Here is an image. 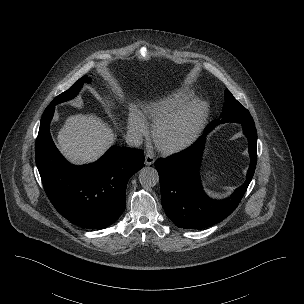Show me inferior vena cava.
Returning a JSON list of instances; mask_svg holds the SVG:
<instances>
[{"label": "inferior vena cava", "mask_w": 304, "mask_h": 304, "mask_svg": "<svg viewBox=\"0 0 304 304\" xmlns=\"http://www.w3.org/2000/svg\"><path fill=\"white\" fill-rule=\"evenodd\" d=\"M125 139L130 147H139L143 142L142 134L137 131H128Z\"/></svg>", "instance_id": "602c4592"}]
</instances>
